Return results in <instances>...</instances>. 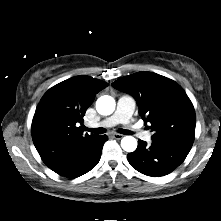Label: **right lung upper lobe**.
<instances>
[{
	"label": "right lung upper lobe",
	"mask_w": 221,
	"mask_h": 221,
	"mask_svg": "<svg viewBox=\"0 0 221 221\" xmlns=\"http://www.w3.org/2000/svg\"><path fill=\"white\" fill-rule=\"evenodd\" d=\"M105 81L80 75L50 88L40 100L31 126L33 143L43 162L58 172L98 138L85 134L83 116ZM79 126V127H78Z\"/></svg>",
	"instance_id": "obj_1"
}]
</instances>
